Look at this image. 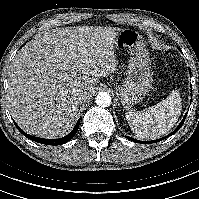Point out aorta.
Listing matches in <instances>:
<instances>
[{
  "instance_id": "1",
  "label": "aorta",
  "mask_w": 199,
  "mask_h": 199,
  "mask_svg": "<svg viewBox=\"0 0 199 199\" xmlns=\"http://www.w3.org/2000/svg\"><path fill=\"white\" fill-rule=\"evenodd\" d=\"M111 96L107 92H100L96 96V103L100 107H108L111 104Z\"/></svg>"
}]
</instances>
